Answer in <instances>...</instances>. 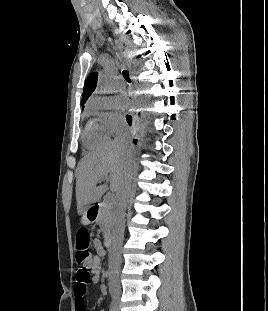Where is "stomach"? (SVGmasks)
Instances as JSON below:
<instances>
[{"mask_svg":"<svg viewBox=\"0 0 268 311\" xmlns=\"http://www.w3.org/2000/svg\"><path fill=\"white\" fill-rule=\"evenodd\" d=\"M80 221H81V224L83 225H89L92 223V220L88 218L87 210L82 214Z\"/></svg>","mask_w":268,"mask_h":311,"instance_id":"0dacf381","label":"stomach"}]
</instances>
